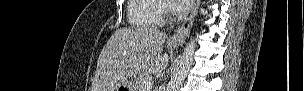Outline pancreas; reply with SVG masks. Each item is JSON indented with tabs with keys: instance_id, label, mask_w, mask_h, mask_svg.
<instances>
[{
	"instance_id": "pancreas-1",
	"label": "pancreas",
	"mask_w": 304,
	"mask_h": 91,
	"mask_svg": "<svg viewBox=\"0 0 304 91\" xmlns=\"http://www.w3.org/2000/svg\"><path fill=\"white\" fill-rule=\"evenodd\" d=\"M147 81H152V77L150 75H138L135 79V90L141 91L142 84Z\"/></svg>"
}]
</instances>
